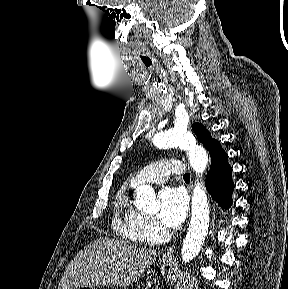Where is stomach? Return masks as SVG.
<instances>
[{
  "instance_id": "stomach-1",
  "label": "stomach",
  "mask_w": 288,
  "mask_h": 289,
  "mask_svg": "<svg viewBox=\"0 0 288 289\" xmlns=\"http://www.w3.org/2000/svg\"><path fill=\"white\" fill-rule=\"evenodd\" d=\"M170 262H171L170 260H168V261H163L161 265H162L163 267H165V266H167L168 264H170ZM86 289H95V288H94V287H91V288H90V287H86Z\"/></svg>"
}]
</instances>
